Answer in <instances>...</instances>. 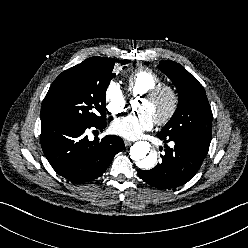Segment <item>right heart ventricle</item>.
<instances>
[{
  "instance_id": "e07e8e85",
  "label": "right heart ventricle",
  "mask_w": 248,
  "mask_h": 248,
  "mask_svg": "<svg viewBox=\"0 0 248 248\" xmlns=\"http://www.w3.org/2000/svg\"><path fill=\"white\" fill-rule=\"evenodd\" d=\"M160 83L161 77L148 68H139L127 78V86L132 95H144Z\"/></svg>"
}]
</instances>
